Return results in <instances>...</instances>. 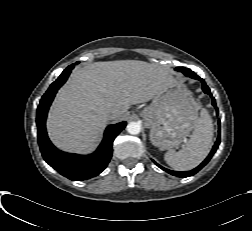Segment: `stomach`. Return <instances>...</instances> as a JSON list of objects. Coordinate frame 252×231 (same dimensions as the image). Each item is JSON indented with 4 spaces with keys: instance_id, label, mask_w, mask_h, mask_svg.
<instances>
[{
    "instance_id": "1",
    "label": "stomach",
    "mask_w": 252,
    "mask_h": 231,
    "mask_svg": "<svg viewBox=\"0 0 252 231\" xmlns=\"http://www.w3.org/2000/svg\"><path fill=\"white\" fill-rule=\"evenodd\" d=\"M198 109L191 92L175 82L156 95L141 111V116L150 127L151 142L163 149H172L181 144L195 127Z\"/></svg>"
}]
</instances>
